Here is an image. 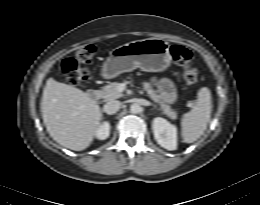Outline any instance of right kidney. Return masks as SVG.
I'll list each match as a JSON object with an SVG mask.
<instances>
[{"instance_id": "ca27d5eb", "label": "right kidney", "mask_w": 260, "mask_h": 205, "mask_svg": "<svg viewBox=\"0 0 260 205\" xmlns=\"http://www.w3.org/2000/svg\"><path fill=\"white\" fill-rule=\"evenodd\" d=\"M110 124L109 122L105 121L103 122L96 132V137L100 140H105L110 135Z\"/></svg>"}]
</instances>
